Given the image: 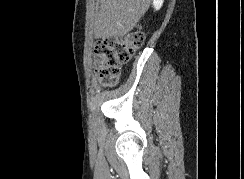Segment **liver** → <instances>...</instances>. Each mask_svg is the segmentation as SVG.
I'll list each match as a JSON object with an SVG mask.
<instances>
[{"label": "liver", "instance_id": "6515ba94", "mask_svg": "<svg viewBox=\"0 0 244 179\" xmlns=\"http://www.w3.org/2000/svg\"><path fill=\"white\" fill-rule=\"evenodd\" d=\"M149 6L150 0H100L99 12L94 22L95 38L129 34Z\"/></svg>", "mask_w": 244, "mask_h": 179}]
</instances>
